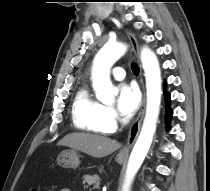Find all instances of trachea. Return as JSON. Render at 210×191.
Listing matches in <instances>:
<instances>
[{"instance_id":"3493384b","label":"trachea","mask_w":210,"mask_h":191,"mask_svg":"<svg viewBox=\"0 0 210 191\" xmlns=\"http://www.w3.org/2000/svg\"><path fill=\"white\" fill-rule=\"evenodd\" d=\"M131 69H132L133 73L136 75L139 73V70H140L139 66L137 64H132Z\"/></svg>"}]
</instances>
